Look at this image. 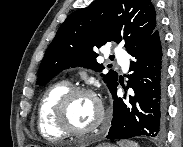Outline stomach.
<instances>
[{"mask_svg": "<svg viewBox=\"0 0 183 147\" xmlns=\"http://www.w3.org/2000/svg\"><path fill=\"white\" fill-rule=\"evenodd\" d=\"M96 147H116V146L109 143H102L97 145Z\"/></svg>", "mask_w": 183, "mask_h": 147, "instance_id": "1", "label": "stomach"}]
</instances>
